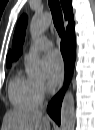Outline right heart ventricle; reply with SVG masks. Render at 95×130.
<instances>
[{
  "instance_id": "1",
  "label": "right heart ventricle",
  "mask_w": 95,
  "mask_h": 130,
  "mask_svg": "<svg viewBox=\"0 0 95 130\" xmlns=\"http://www.w3.org/2000/svg\"><path fill=\"white\" fill-rule=\"evenodd\" d=\"M9 98L11 103L20 109L36 108L42 100L35 80L20 73H17L10 81Z\"/></svg>"
}]
</instances>
